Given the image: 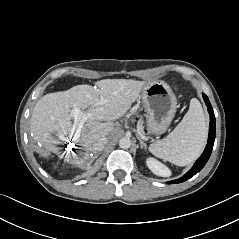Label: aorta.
<instances>
[{"mask_svg": "<svg viewBox=\"0 0 239 239\" xmlns=\"http://www.w3.org/2000/svg\"><path fill=\"white\" fill-rule=\"evenodd\" d=\"M119 146L122 149H128L131 146V139L129 137H123L119 140Z\"/></svg>", "mask_w": 239, "mask_h": 239, "instance_id": "obj_1", "label": "aorta"}]
</instances>
